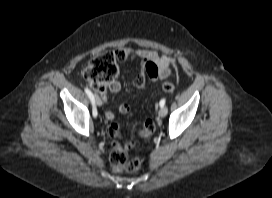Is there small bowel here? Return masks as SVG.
<instances>
[{
	"mask_svg": "<svg viewBox=\"0 0 272 198\" xmlns=\"http://www.w3.org/2000/svg\"><path fill=\"white\" fill-rule=\"evenodd\" d=\"M117 52L122 56L121 61H126L129 59L138 58L142 63H146L148 61H152L156 64L158 68V75L154 78H151L152 80L156 81L159 79H164L168 77L171 73V65L173 62L172 57L164 55L159 56L156 52L140 49L137 51H132L128 48H119ZM135 85L136 80H135ZM139 87V86H137ZM109 90L112 93H117L121 90V84L119 81H114L110 87ZM100 102L102 103V100L105 99V94L100 92V95L98 96ZM130 110V104L128 102H122L119 105V111L123 114L128 113ZM105 117L107 120H113L114 119V113L112 111H106Z\"/></svg>",
	"mask_w": 272,
	"mask_h": 198,
	"instance_id": "small-bowel-1",
	"label": "small bowel"
}]
</instances>
